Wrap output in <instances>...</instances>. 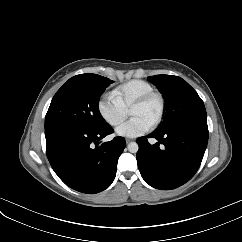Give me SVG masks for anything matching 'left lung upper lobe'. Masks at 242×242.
<instances>
[{
  "instance_id": "left-lung-upper-lobe-1",
  "label": "left lung upper lobe",
  "mask_w": 242,
  "mask_h": 242,
  "mask_svg": "<svg viewBox=\"0 0 242 242\" xmlns=\"http://www.w3.org/2000/svg\"><path fill=\"white\" fill-rule=\"evenodd\" d=\"M148 80L156 85L166 100L165 118L155 131L163 132L187 121H207L203 101L185 80L172 75L150 76Z\"/></svg>"
}]
</instances>
